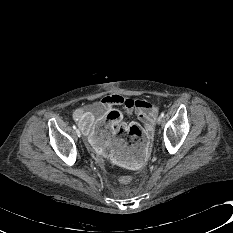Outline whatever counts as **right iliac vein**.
I'll list each match as a JSON object with an SVG mask.
<instances>
[{
    "instance_id": "1",
    "label": "right iliac vein",
    "mask_w": 233,
    "mask_h": 233,
    "mask_svg": "<svg viewBox=\"0 0 233 233\" xmlns=\"http://www.w3.org/2000/svg\"><path fill=\"white\" fill-rule=\"evenodd\" d=\"M75 133H76V135H77L78 137H80V136H81V132H80V130H79V129H76V130H75Z\"/></svg>"
}]
</instances>
